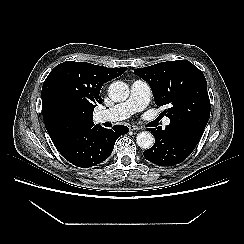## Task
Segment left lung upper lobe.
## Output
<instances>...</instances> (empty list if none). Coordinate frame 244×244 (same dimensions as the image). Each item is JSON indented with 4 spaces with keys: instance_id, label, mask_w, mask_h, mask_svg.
I'll list each match as a JSON object with an SVG mask.
<instances>
[{
    "instance_id": "5c2ea615",
    "label": "left lung upper lobe",
    "mask_w": 244,
    "mask_h": 244,
    "mask_svg": "<svg viewBox=\"0 0 244 244\" xmlns=\"http://www.w3.org/2000/svg\"><path fill=\"white\" fill-rule=\"evenodd\" d=\"M134 74L148 82L158 106L168 105L164 114L170 127L201 138L210 117L207 82L201 70L187 60H177L137 68Z\"/></svg>"
}]
</instances>
